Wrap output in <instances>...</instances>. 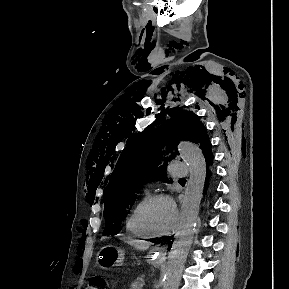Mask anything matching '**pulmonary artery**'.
I'll use <instances>...</instances> for the list:
<instances>
[{"label": "pulmonary artery", "instance_id": "obj_1", "mask_svg": "<svg viewBox=\"0 0 289 289\" xmlns=\"http://www.w3.org/2000/svg\"><path fill=\"white\" fill-rule=\"evenodd\" d=\"M189 166L183 161H173L168 166L169 173L174 177H186Z\"/></svg>", "mask_w": 289, "mask_h": 289}]
</instances>
